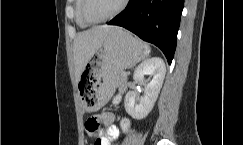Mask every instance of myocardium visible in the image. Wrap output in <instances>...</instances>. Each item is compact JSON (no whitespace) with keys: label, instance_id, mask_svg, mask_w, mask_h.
Segmentation results:
<instances>
[{"label":"myocardium","instance_id":"myocardium-1","mask_svg":"<svg viewBox=\"0 0 243 145\" xmlns=\"http://www.w3.org/2000/svg\"><path fill=\"white\" fill-rule=\"evenodd\" d=\"M130 0H122L121 5L118 7L117 10H115L112 14H110L109 16L101 19V20H91L88 15H87V4L89 2V0H82V5H81V16L83 18V20L89 24V25H95V24H100V23H104L107 22L111 19H113L114 17L118 16L120 13H122L125 8L127 7L128 3Z\"/></svg>","mask_w":243,"mask_h":145}]
</instances>
